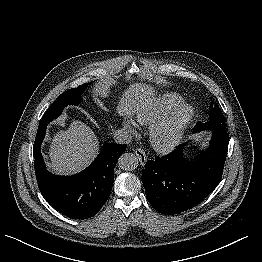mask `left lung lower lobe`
I'll return each instance as SVG.
<instances>
[{
    "label": "left lung lower lobe",
    "mask_w": 262,
    "mask_h": 262,
    "mask_svg": "<svg viewBox=\"0 0 262 262\" xmlns=\"http://www.w3.org/2000/svg\"><path fill=\"white\" fill-rule=\"evenodd\" d=\"M196 131V130H195ZM210 146L193 160L185 159V147L145 164L142 182L149 203L160 213L177 214L206 198L222 178L229 135L213 129Z\"/></svg>",
    "instance_id": "0a47b994"
}]
</instances>
